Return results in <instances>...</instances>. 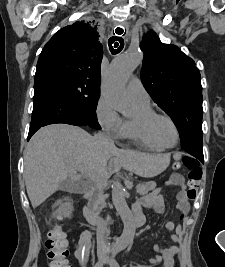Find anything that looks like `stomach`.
<instances>
[{"mask_svg":"<svg viewBox=\"0 0 225 267\" xmlns=\"http://www.w3.org/2000/svg\"><path fill=\"white\" fill-rule=\"evenodd\" d=\"M168 164L169 157L167 155H156L149 157V159L143 164V169L146 176L152 177L165 170Z\"/></svg>","mask_w":225,"mask_h":267,"instance_id":"0dacf381","label":"stomach"}]
</instances>
